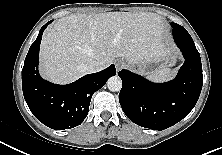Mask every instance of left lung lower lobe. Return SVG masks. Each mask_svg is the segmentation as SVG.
Here are the masks:
<instances>
[{
  "instance_id": "0a47b994",
  "label": "left lung lower lobe",
  "mask_w": 222,
  "mask_h": 155,
  "mask_svg": "<svg viewBox=\"0 0 222 155\" xmlns=\"http://www.w3.org/2000/svg\"><path fill=\"white\" fill-rule=\"evenodd\" d=\"M171 26L174 41L185 58L175 79L153 83L127 70L118 73L123 82L119 102L124 113L137 125L153 130L166 129L186 117L203 84L200 54L193 39L182 26Z\"/></svg>"
}]
</instances>
